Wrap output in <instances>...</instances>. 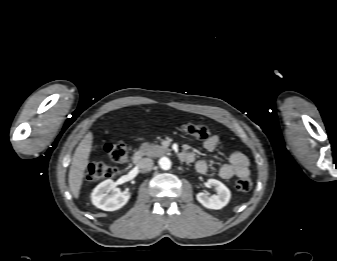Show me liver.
I'll return each mask as SVG.
<instances>
[{
	"mask_svg": "<svg viewBox=\"0 0 337 261\" xmlns=\"http://www.w3.org/2000/svg\"><path fill=\"white\" fill-rule=\"evenodd\" d=\"M93 134L88 132L75 150L69 171V188L78 199L83 182L84 172L89 164V156L92 150Z\"/></svg>",
	"mask_w": 337,
	"mask_h": 261,
	"instance_id": "obj_1",
	"label": "liver"
}]
</instances>
